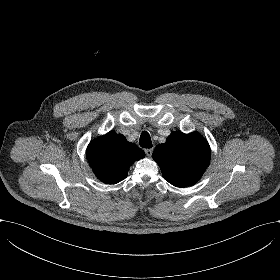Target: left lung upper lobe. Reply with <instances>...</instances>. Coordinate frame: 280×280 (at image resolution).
I'll return each mask as SVG.
<instances>
[{"mask_svg": "<svg viewBox=\"0 0 280 280\" xmlns=\"http://www.w3.org/2000/svg\"><path fill=\"white\" fill-rule=\"evenodd\" d=\"M152 156L165 180L186 187L201 178L210 163L211 151L200 134L173 132L164 144L156 146Z\"/></svg>", "mask_w": 280, "mask_h": 280, "instance_id": "left-lung-upper-lobe-1", "label": "left lung upper lobe"}]
</instances>
